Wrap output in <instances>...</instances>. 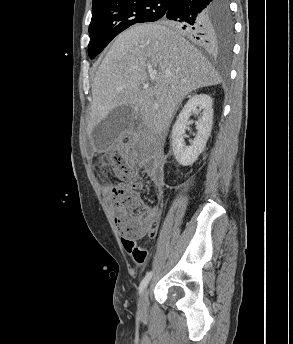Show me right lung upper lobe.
<instances>
[{
	"mask_svg": "<svg viewBox=\"0 0 293 344\" xmlns=\"http://www.w3.org/2000/svg\"><path fill=\"white\" fill-rule=\"evenodd\" d=\"M108 1H114V0H93L92 8L101 2H108Z\"/></svg>",
	"mask_w": 293,
	"mask_h": 344,
	"instance_id": "1",
	"label": "right lung upper lobe"
}]
</instances>
